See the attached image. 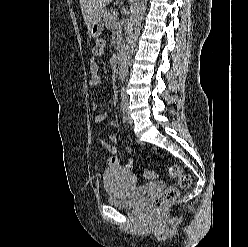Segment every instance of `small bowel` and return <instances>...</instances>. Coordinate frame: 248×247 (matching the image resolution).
Masks as SVG:
<instances>
[{
  "instance_id": "c3829d8e",
  "label": "small bowel",
  "mask_w": 248,
  "mask_h": 247,
  "mask_svg": "<svg viewBox=\"0 0 248 247\" xmlns=\"http://www.w3.org/2000/svg\"><path fill=\"white\" fill-rule=\"evenodd\" d=\"M104 49H105V42L102 39L97 40L96 45L94 46L92 50V60L90 63V85L92 87L98 86L101 83V76L98 73V66L95 62L96 58L102 57L104 55ZM91 109L93 111H96L98 109V102L93 101L91 103ZM107 113L101 112L95 115L94 121L99 124L102 123L106 119ZM111 144L109 143H103L104 148L112 155L108 159V165L110 166H117L120 164V161L115 156L117 153V137L112 135L110 136ZM132 149L130 147L126 148V154L128 155L127 161L124 164V168L128 171H132L133 169V159L131 157Z\"/></svg>"
}]
</instances>
